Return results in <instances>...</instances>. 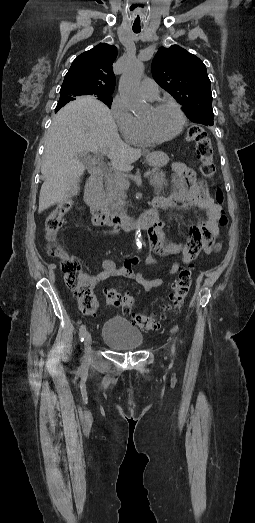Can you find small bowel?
I'll list each match as a JSON object with an SVG mask.
<instances>
[{
  "mask_svg": "<svg viewBox=\"0 0 255 523\" xmlns=\"http://www.w3.org/2000/svg\"><path fill=\"white\" fill-rule=\"evenodd\" d=\"M180 175V181L176 183L174 192L167 198L169 207L177 209L194 208L203 212L204 217L199 218L198 222L190 225L189 238L187 241L179 244L169 243L165 239L163 229L165 223L159 221L155 227L149 230L148 252L144 261L148 265H157L158 260L152 256V253L158 256H167L178 254L184 264H190L200 254H208L216 236L219 234V218L221 207L217 205L209 194L206 185L197 179L194 170L185 165L176 166ZM141 261L139 257L127 258L121 267L109 258L101 261L102 271L97 274L85 273V279L95 285L105 281L110 277L121 276L136 281L146 290L159 287L163 279L154 278L146 279L142 271H135L134 267ZM180 264L174 262L170 269V274L179 271Z\"/></svg>",
  "mask_w": 255,
  "mask_h": 523,
  "instance_id": "c3829d8e",
  "label": "small bowel"
}]
</instances>
